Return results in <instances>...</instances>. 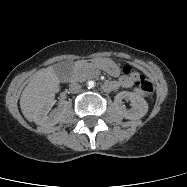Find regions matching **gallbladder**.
Returning a JSON list of instances; mask_svg holds the SVG:
<instances>
[{"instance_id": "bac80fb5", "label": "gallbladder", "mask_w": 187, "mask_h": 187, "mask_svg": "<svg viewBox=\"0 0 187 187\" xmlns=\"http://www.w3.org/2000/svg\"><path fill=\"white\" fill-rule=\"evenodd\" d=\"M73 63L71 61H65L58 63L54 66V71L61 81H65L71 74Z\"/></svg>"}]
</instances>
